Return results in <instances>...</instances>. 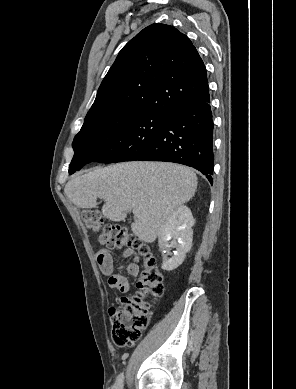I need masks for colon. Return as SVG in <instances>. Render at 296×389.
Masks as SVG:
<instances>
[{
  "label": "colon",
  "mask_w": 296,
  "mask_h": 389,
  "mask_svg": "<svg viewBox=\"0 0 296 389\" xmlns=\"http://www.w3.org/2000/svg\"><path fill=\"white\" fill-rule=\"evenodd\" d=\"M80 215L86 228L100 232L102 244L115 249H134L142 258L143 270L137 282L136 294L122 297V306L109 310L113 342L119 347L131 346L139 340L148 324L150 304L146 297L157 299L164 292L163 275L149 247L127 228L104 223L95 209H81Z\"/></svg>",
  "instance_id": "obj_1"
}]
</instances>
